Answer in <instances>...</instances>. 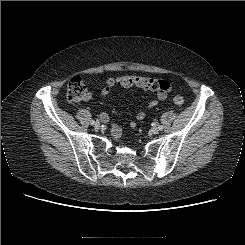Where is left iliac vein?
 I'll return each mask as SVG.
<instances>
[{
	"label": "left iliac vein",
	"mask_w": 245,
	"mask_h": 245,
	"mask_svg": "<svg viewBox=\"0 0 245 245\" xmlns=\"http://www.w3.org/2000/svg\"><path fill=\"white\" fill-rule=\"evenodd\" d=\"M159 130L160 129L158 127H154V128L151 129V133L152 134H158L159 133Z\"/></svg>",
	"instance_id": "left-iliac-vein-1"
}]
</instances>
